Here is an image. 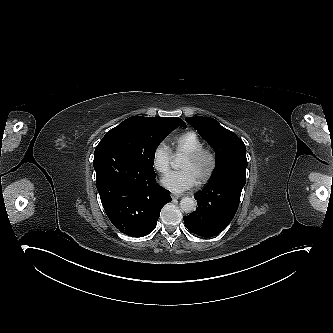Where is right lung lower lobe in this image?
Masks as SVG:
<instances>
[{
	"label": "right lung lower lobe",
	"instance_id": "right-lung-lower-lobe-1",
	"mask_svg": "<svg viewBox=\"0 0 333 333\" xmlns=\"http://www.w3.org/2000/svg\"><path fill=\"white\" fill-rule=\"evenodd\" d=\"M96 187L103 208L122 233L142 237L154 230L170 192L155 181V172L138 164L113 142L94 153Z\"/></svg>",
	"mask_w": 333,
	"mask_h": 333
}]
</instances>
